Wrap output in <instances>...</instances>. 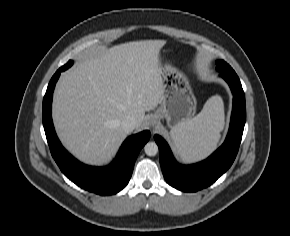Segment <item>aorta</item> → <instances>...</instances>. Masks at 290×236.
Here are the masks:
<instances>
[{
    "label": "aorta",
    "mask_w": 290,
    "mask_h": 236,
    "mask_svg": "<svg viewBox=\"0 0 290 236\" xmlns=\"http://www.w3.org/2000/svg\"><path fill=\"white\" fill-rule=\"evenodd\" d=\"M144 151L148 156H155L158 153V145L155 142H148L144 146Z\"/></svg>",
    "instance_id": "aorta-1"
}]
</instances>
